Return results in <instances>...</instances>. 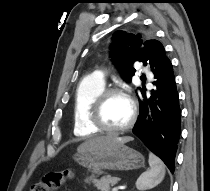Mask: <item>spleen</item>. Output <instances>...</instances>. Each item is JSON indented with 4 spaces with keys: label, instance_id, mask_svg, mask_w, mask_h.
Segmentation results:
<instances>
[{
    "label": "spleen",
    "instance_id": "spleen-1",
    "mask_svg": "<svg viewBox=\"0 0 210 191\" xmlns=\"http://www.w3.org/2000/svg\"><path fill=\"white\" fill-rule=\"evenodd\" d=\"M150 170L143 172L136 181L138 190L144 191L157 186L165 176V167L162 161L154 154H149Z\"/></svg>",
    "mask_w": 210,
    "mask_h": 191
}]
</instances>
